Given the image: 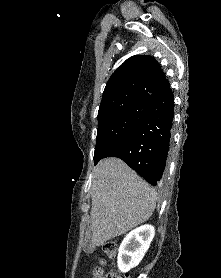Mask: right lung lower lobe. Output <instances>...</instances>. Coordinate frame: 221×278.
<instances>
[{
    "label": "right lung lower lobe",
    "mask_w": 221,
    "mask_h": 278,
    "mask_svg": "<svg viewBox=\"0 0 221 278\" xmlns=\"http://www.w3.org/2000/svg\"><path fill=\"white\" fill-rule=\"evenodd\" d=\"M151 112L128 135L109 148L101 159L114 156L125 161L151 185L164 174L174 117V98L169 88L147 102Z\"/></svg>",
    "instance_id": "98d812e1"
}]
</instances>
